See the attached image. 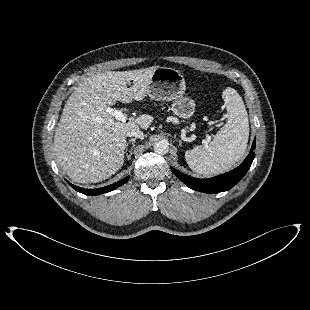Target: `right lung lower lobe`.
Returning a JSON list of instances; mask_svg holds the SVG:
<instances>
[{
    "instance_id": "1",
    "label": "right lung lower lobe",
    "mask_w": 310,
    "mask_h": 310,
    "mask_svg": "<svg viewBox=\"0 0 310 310\" xmlns=\"http://www.w3.org/2000/svg\"><path fill=\"white\" fill-rule=\"evenodd\" d=\"M129 179V177H126L112 185H109V186H106V187H103V188H99V189H83V188H80V187H77L75 185H72L69 184L78 192H81L85 195H99V194H102V193H106V192H109V191H112L116 188H118L119 186L123 185L125 182H127V180Z\"/></svg>"
}]
</instances>
